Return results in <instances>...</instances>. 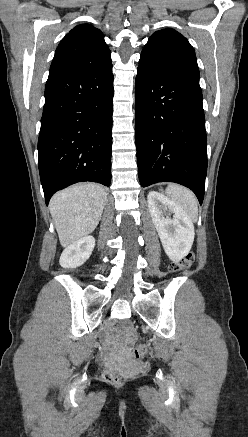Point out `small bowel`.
<instances>
[{
	"instance_id": "small-bowel-1",
	"label": "small bowel",
	"mask_w": 248,
	"mask_h": 437,
	"mask_svg": "<svg viewBox=\"0 0 248 437\" xmlns=\"http://www.w3.org/2000/svg\"><path fill=\"white\" fill-rule=\"evenodd\" d=\"M128 332V328L123 326L120 332L115 336V340L120 341L123 344H131L133 340Z\"/></svg>"
}]
</instances>
